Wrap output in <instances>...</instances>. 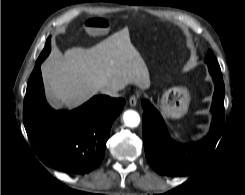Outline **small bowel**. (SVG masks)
Segmentation results:
<instances>
[{
    "label": "small bowel",
    "instance_id": "small-bowel-1",
    "mask_svg": "<svg viewBox=\"0 0 245 195\" xmlns=\"http://www.w3.org/2000/svg\"><path fill=\"white\" fill-rule=\"evenodd\" d=\"M87 28L93 33H100L108 29L109 22L100 17L91 18L86 22Z\"/></svg>",
    "mask_w": 245,
    "mask_h": 195
}]
</instances>
